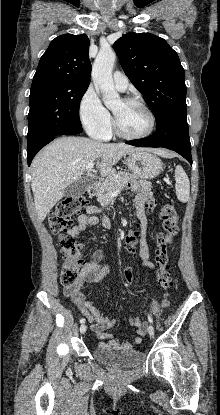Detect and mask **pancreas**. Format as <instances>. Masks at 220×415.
Wrapping results in <instances>:
<instances>
[{"label": "pancreas", "mask_w": 220, "mask_h": 415, "mask_svg": "<svg viewBox=\"0 0 220 415\" xmlns=\"http://www.w3.org/2000/svg\"><path fill=\"white\" fill-rule=\"evenodd\" d=\"M137 177L133 174L123 171H112L105 180L98 182L96 185V196L98 202L105 205L111 199V193L116 190H122L128 184H134Z\"/></svg>", "instance_id": "obj_1"}]
</instances>
